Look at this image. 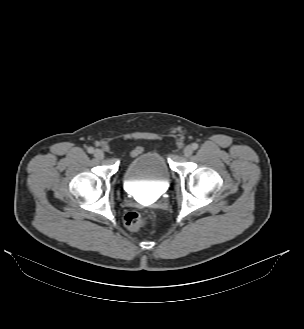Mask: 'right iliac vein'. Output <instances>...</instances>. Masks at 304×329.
Here are the masks:
<instances>
[{
	"label": "right iliac vein",
	"instance_id": "1",
	"mask_svg": "<svg viewBox=\"0 0 304 329\" xmlns=\"http://www.w3.org/2000/svg\"><path fill=\"white\" fill-rule=\"evenodd\" d=\"M94 157H95L96 159H99V160L103 159V157H104V153H103V151L100 150V149H96V150L94 151Z\"/></svg>",
	"mask_w": 304,
	"mask_h": 329
}]
</instances>
